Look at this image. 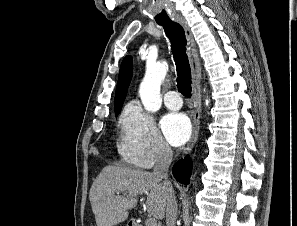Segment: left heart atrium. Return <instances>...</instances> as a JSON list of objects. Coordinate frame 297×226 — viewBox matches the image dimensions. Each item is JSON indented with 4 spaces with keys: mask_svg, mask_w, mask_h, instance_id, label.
<instances>
[{
    "mask_svg": "<svg viewBox=\"0 0 297 226\" xmlns=\"http://www.w3.org/2000/svg\"><path fill=\"white\" fill-rule=\"evenodd\" d=\"M161 128L167 141L173 146L184 144L191 133L188 117L182 113H169L161 121Z\"/></svg>",
    "mask_w": 297,
    "mask_h": 226,
    "instance_id": "left-heart-atrium-1",
    "label": "left heart atrium"
}]
</instances>
